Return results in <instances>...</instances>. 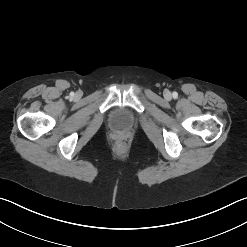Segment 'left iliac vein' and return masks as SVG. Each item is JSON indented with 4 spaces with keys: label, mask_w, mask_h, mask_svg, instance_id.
<instances>
[{
    "label": "left iliac vein",
    "mask_w": 247,
    "mask_h": 247,
    "mask_svg": "<svg viewBox=\"0 0 247 247\" xmlns=\"http://www.w3.org/2000/svg\"><path fill=\"white\" fill-rule=\"evenodd\" d=\"M165 96H166V98H170L171 97V93L169 91H166L165 92Z\"/></svg>",
    "instance_id": "1"
}]
</instances>
